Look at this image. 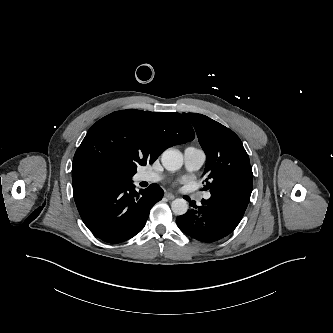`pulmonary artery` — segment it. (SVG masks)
<instances>
[{"label": "pulmonary artery", "mask_w": 333, "mask_h": 333, "mask_svg": "<svg viewBox=\"0 0 333 333\" xmlns=\"http://www.w3.org/2000/svg\"><path fill=\"white\" fill-rule=\"evenodd\" d=\"M205 153L203 150L196 148V147H187L184 150V162L185 167L189 171H197L202 167L205 162ZM163 177L152 171H143L137 174L136 180L139 182H148L154 183L162 180ZM210 193L204 194L205 199L210 198Z\"/></svg>", "instance_id": "obj_1"}]
</instances>
